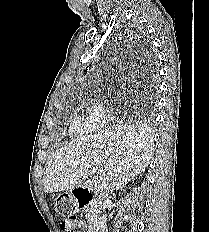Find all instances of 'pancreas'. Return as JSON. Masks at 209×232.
I'll list each match as a JSON object with an SVG mask.
<instances>
[{
	"mask_svg": "<svg viewBox=\"0 0 209 232\" xmlns=\"http://www.w3.org/2000/svg\"><path fill=\"white\" fill-rule=\"evenodd\" d=\"M99 209L96 206H91L89 209H87L86 218L87 221L91 224L97 219H99Z\"/></svg>",
	"mask_w": 209,
	"mask_h": 232,
	"instance_id": "obj_1",
	"label": "pancreas"
}]
</instances>
